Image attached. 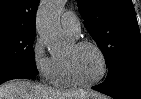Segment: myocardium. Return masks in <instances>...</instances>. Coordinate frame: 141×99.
I'll return each instance as SVG.
<instances>
[{
	"mask_svg": "<svg viewBox=\"0 0 141 99\" xmlns=\"http://www.w3.org/2000/svg\"><path fill=\"white\" fill-rule=\"evenodd\" d=\"M75 45L78 48L91 47L94 50H96L97 53L99 54L100 58H101V61H102V72H101V74L98 78H96L92 81L81 80L77 76L72 62L69 59H65L68 74H69L71 81L73 82V84L78 85V86H82V87H92V86L99 84L106 77L107 72H108V60H107V57L105 55V52L103 51V49L97 43H95L93 41H89V40L78 41Z\"/></svg>",
	"mask_w": 141,
	"mask_h": 99,
	"instance_id": "f54148a6",
	"label": "myocardium"
}]
</instances>
